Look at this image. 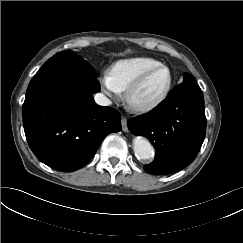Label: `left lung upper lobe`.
Returning <instances> with one entry per match:
<instances>
[{"label": "left lung upper lobe", "mask_w": 243, "mask_h": 243, "mask_svg": "<svg viewBox=\"0 0 243 243\" xmlns=\"http://www.w3.org/2000/svg\"><path fill=\"white\" fill-rule=\"evenodd\" d=\"M191 81H196V80L191 75L185 74L183 82H191Z\"/></svg>", "instance_id": "5c2ea615"}]
</instances>
